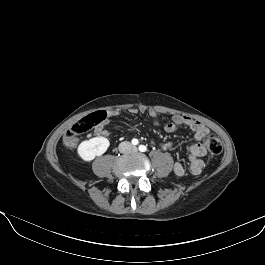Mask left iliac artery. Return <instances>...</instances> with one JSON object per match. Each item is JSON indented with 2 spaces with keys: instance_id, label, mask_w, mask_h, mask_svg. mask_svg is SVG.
<instances>
[{
  "instance_id": "1",
  "label": "left iliac artery",
  "mask_w": 265,
  "mask_h": 265,
  "mask_svg": "<svg viewBox=\"0 0 265 265\" xmlns=\"http://www.w3.org/2000/svg\"><path fill=\"white\" fill-rule=\"evenodd\" d=\"M139 150H140L141 152H145V151H147V147L144 146V145H140V146H139Z\"/></svg>"
}]
</instances>
